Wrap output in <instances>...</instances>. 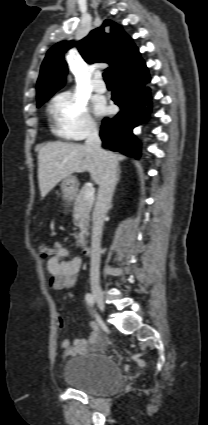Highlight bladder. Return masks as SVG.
<instances>
[{"label": "bladder", "mask_w": 208, "mask_h": 425, "mask_svg": "<svg viewBox=\"0 0 208 425\" xmlns=\"http://www.w3.org/2000/svg\"><path fill=\"white\" fill-rule=\"evenodd\" d=\"M63 378L72 388L98 396L110 395L122 384L117 364L99 352L66 359Z\"/></svg>", "instance_id": "obj_1"}]
</instances>
